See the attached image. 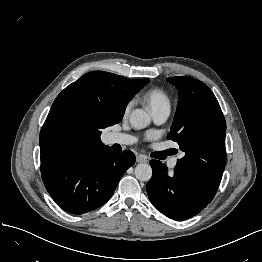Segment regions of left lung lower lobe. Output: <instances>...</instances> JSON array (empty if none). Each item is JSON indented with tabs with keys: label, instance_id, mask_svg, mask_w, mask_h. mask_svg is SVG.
<instances>
[{
	"label": "left lung lower lobe",
	"instance_id": "left-lung-lower-lobe-1",
	"mask_svg": "<svg viewBox=\"0 0 262 262\" xmlns=\"http://www.w3.org/2000/svg\"><path fill=\"white\" fill-rule=\"evenodd\" d=\"M152 178L146 185L148 197L154 207L174 220H186L201 212L208 203L195 187L180 176L173 174L161 161L151 160Z\"/></svg>",
	"mask_w": 262,
	"mask_h": 262
}]
</instances>
